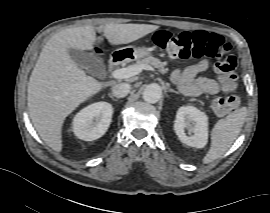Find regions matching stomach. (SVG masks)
Segmentation results:
<instances>
[{"label":"stomach","instance_id":"stomach-1","mask_svg":"<svg viewBox=\"0 0 270 213\" xmlns=\"http://www.w3.org/2000/svg\"><path fill=\"white\" fill-rule=\"evenodd\" d=\"M125 61L139 60L143 57L150 56L152 49L145 47L128 46L117 50Z\"/></svg>","mask_w":270,"mask_h":213}]
</instances>
